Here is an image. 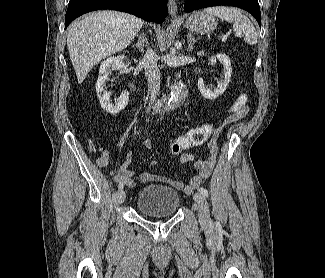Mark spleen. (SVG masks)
I'll return each mask as SVG.
<instances>
[{
  "label": "spleen",
  "instance_id": "3e777b00",
  "mask_svg": "<svg viewBox=\"0 0 325 278\" xmlns=\"http://www.w3.org/2000/svg\"><path fill=\"white\" fill-rule=\"evenodd\" d=\"M204 13L214 15L220 19L233 23V29L244 36L247 44L255 45L258 35L251 21L241 12L233 7L217 6L204 9Z\"/></svg>",
  "mask_w": 325,
  "mask_h": 278
}]
</instances>
